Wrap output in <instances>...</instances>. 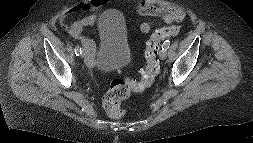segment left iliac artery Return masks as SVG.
<instances>
[{"label":"left iliac artery","mask_w":253,"mask_h":143,"mask_svg":"<svg viewBox=\"0 0 253 143\" xmlns=\"http://www.w3.org/2000/svg\"><path fill=\"white\" fill-rule=\"evenodd\" d=\"M170 46V41L169 40H166L163 45H162V50H165L167 51V49L169 48Z\"/></svg>","instance_id":"44dca946"}]
</instances>
